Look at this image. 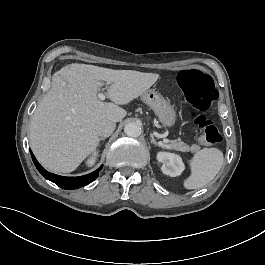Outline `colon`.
I'll use <instances>...</instances> for the list:
<instances>
[{"mask_svg": "<svg viewBox=\"0 0 265 265\" xmlns=\"http://www.w3.org/2000/svg\"><path fill=\"white\" fill-rule=\"evenodd\" d=\"M182 88L193 109L190 116L201 131V142L211 146L219 145L222 142L220 131L212 117L206 115L218 98L212 79L204 70L192 69L183 76Z\"/></svg>", "mask_w": 265, "mask_h": 265, "instance_id": "1", "label": "colon"}]
</instances>
